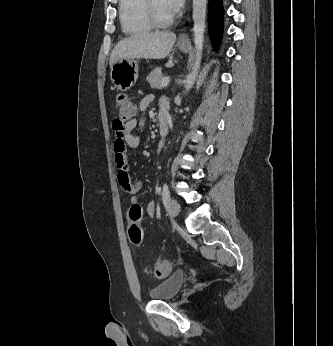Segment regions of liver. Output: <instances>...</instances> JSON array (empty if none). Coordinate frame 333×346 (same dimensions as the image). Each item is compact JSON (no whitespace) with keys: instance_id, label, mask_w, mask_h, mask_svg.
<instances>
[{"instance_id":"1","label":"liver","mask_w":333,"mask_h":346,"mask_svg":"<svg viewBox=\"0 0 333 346\" xmlns=\"http://www.w3.org/2000/svg\"><path fill=\"white\" fill-rule=\"evenodd\" d=\"M176 35L168 32L142 33L119 41L110 57V66L121 59H164L171 52Z\"/></svg>"}]
</instances>
